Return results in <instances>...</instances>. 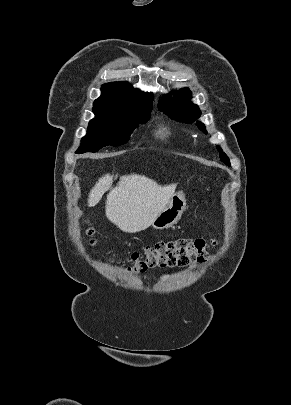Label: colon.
I'll use <instances>...</instances> for the list:
<instances>
[{"instance_id": "5ec220e1", "label": "colon", "mask_w": 291, "mask_h": 405, "mask_svg": "<svg viewBox=\"0 0 291 405\" xmlns=\"http://www.w3.org/2000/svg\"><path fill=\"white\" fill-rule=\"evenodd\" d=\"M88 234L92 236L94 231L89 229ZM215 246L214 240L205 239L159 241L145 247L143 252H134L128 270L144 272L155 267H183L193 262H204Z\"/></svg>"}]
</instances>
